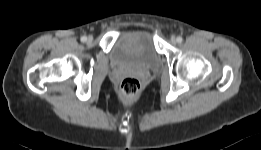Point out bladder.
<instances>
[{
	"mask_svg": "<svg viewBox=\"0 0 261 150\" xmlns=\"http://www.w3.org/2000/svg\"><path fill=\"white\" fill-rule=\"evenodd\" d=\"M110 61L117 66L156 69L160 64L152 35L145 30L126 32L118 37L109 52Z\"/></svg>",
	"mask_w": 261,
	"mask_h": 150,
	"instance_id": "1",
	"label": "bladder"
}]
</instances>
